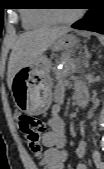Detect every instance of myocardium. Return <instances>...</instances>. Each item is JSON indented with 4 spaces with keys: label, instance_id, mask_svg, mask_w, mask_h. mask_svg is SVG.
Wrapping results in <instances>:
<instances>
[{
    "label": "myocardium",
    "instance_id": "obj_1",
    "mask_svg": "<svg viewBox=\"0 0 104 169\" xmlns=\"http://www.w3.org/2000/svg\"><path fill=\"white\" fill-rule=\"evenodd\" d=\"M83 14L82 10H78L77 12H75L72 16L70 17H61L57 14L56 11H50L48 13L49 17L55 22V23H64V24H69V23H73L74 21H76L77 19H79L81 17V15Z\"/></svg>",
    "mask_w": 104,
    "mask_h": 169
}]
</instances>
